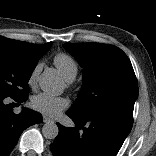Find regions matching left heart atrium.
I'll use <instances>...</instances> for the list:
<instances>
[{"label":"left heart atrium","instance_id":"1","mask_svg":"<svg viewBox=\"0 0 156 156\" xmlns=\"http://www.w3.org/2000/svg\"><path fill=\"white\" fill-rule=\"evenodd\" d=\"M32 107L47 116H56L69 106L65 97L53 96L48 93H39L31 100Z\"/></svg>","mask_w":156,"mask_h":156}]
</instances>
